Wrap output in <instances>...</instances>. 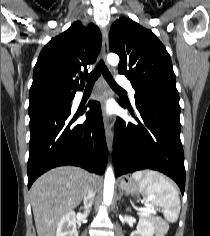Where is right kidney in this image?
Listing matches in <instances>:
<instances>
[{"mask_svg": "<svg viewBox=\"0 0 210 236\" xmlns=\"http://www.w3.org/2000/svg\"><path fill=\"white\" fill-rule=\"evenodd\" d=\"M56 236H78L76 217L73 211L66 213L57 225Z\"/></svg>", "mask_w": 210, "mask_h": 236, "instance_id": "right-kidney-1", "label": "right kidney"}]
</instances>
